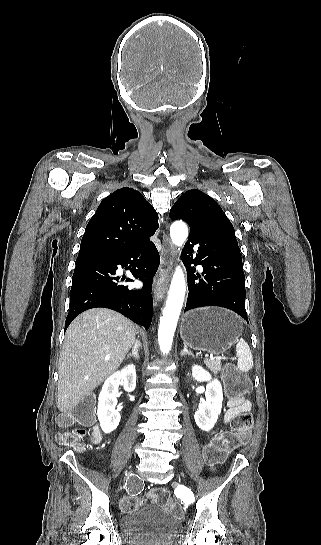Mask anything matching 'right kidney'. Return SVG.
<instances>
[{"label":"right kidney","mask_w":321,"mask_h":545,"mask_svg":"<svg viewBox=\"0 0 321 545\" xmlns=\"http://www.w3.org/2000/svg\"><path fill=\"white\" fill-rule=\"evenodd\" d=\"M119 385H123L124 391L132 393L136 387V369L134 365H128L122 371L113 373L106 379L98 397V421L103 433H112L120 423V413L115 411L117 405L116 395Z\"/></svg>","instance_id":"1"}]
</instances>
